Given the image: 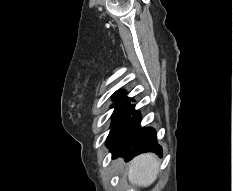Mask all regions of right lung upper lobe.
<instances>
[{"mask_svg":"<svg viewBox=\"0 0 233 191\" xmlns=\"http://www.w3.org/2000/svg\"><path fill=\"white\" fill-rule=\"evenodd\" d=\"M125 95V92H116L113 96V99H119V98H122L124 97Z\"/></svg>","mask_w":233,"mask_h":191,"instance_id":"obj_1","label":"right lung upper lobe"}]
</instances>
